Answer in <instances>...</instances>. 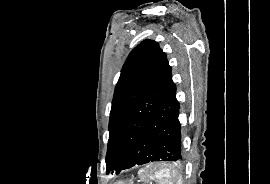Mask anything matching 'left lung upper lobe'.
<instances>
[{
	"mask_svg": "<svg viewBox=\"0 0 270 184\" xmlns=\"http://www.w3.org/2000/svg\"><path fill=\"white\" fill-rule=\"evenodd\" d=\"M172 84L171 66L157 42L144 40L131 51L121 70L112 101L107 174L120 169Z\"/></svg>",
	"mask_w": 270,
	"mask_h": 184,
	"instance_id": "1",
	"label": "left lung upper lobe"
}]
</instances>
